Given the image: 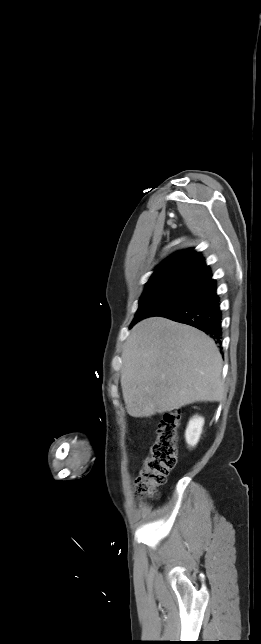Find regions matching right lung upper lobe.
<instances>
[{
    "label": "right lung upper lobe",
    "instance_id": "cb5924a9",
    "mask_svg": "<svg viewBox=\"0 0 261 644\" xmlns=\"http://www.w3.org/2000/svg\"><path fill=\"white\" fill-rule=\"evenodd\" d=\"M211 277L210 268L201 254L186 249L174 253L158 265L148 283L179 279L202 284Z\"/></svg>",
    "mask_w": 261,
    "mask_h": 644
}]
</instances>
